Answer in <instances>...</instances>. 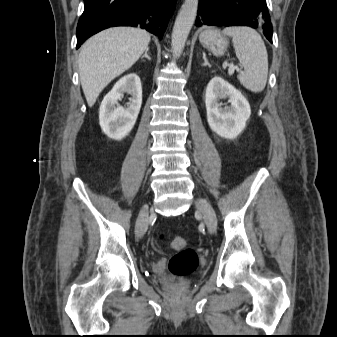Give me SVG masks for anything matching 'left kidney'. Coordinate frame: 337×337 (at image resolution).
<instances>
[{"instance_id": "1", "label": "left kidney", "mask_w": 337, "mask_h": 337, "mask_svg": "<svg viewBox=\"0 0 337 337\" xmlns=\"http://www.w3.org/2000/svg\"><path fill=\"white\" fill-rule=\"evenodd\" d=\"M229 97L230 106L222 108L219 100ZM207 121L212 131L226 139L236 138L246 127L251 109L246 98L227 81L213 77L205 94Z\"/></svg>"}]
</instances>
